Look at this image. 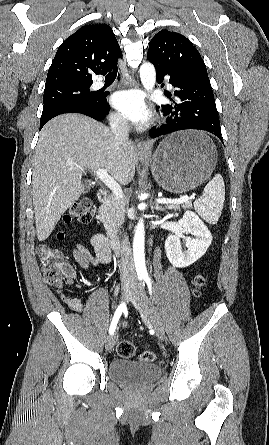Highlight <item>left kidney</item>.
<instances>
[{"instance_id":"1","label":"left kidney","mask_w":269,"mask_h":445,"mask_svg":"<svg viewBox=\"0 0 269 445\" xmlns=\"http://www.w3.org/2000/svg\"><path fill=\"white\" fill-rule=\"evenodd\" d=\"M178 216V214H176ZM181 233L170 235L165 241V251L170 263L178 268L188 267L200 259L212 242V235L203 221L192 211H186L181 220ZM183 234H193L186 242L187 250H182Z\"/></svg>"}]
</instances>
